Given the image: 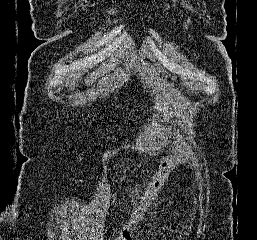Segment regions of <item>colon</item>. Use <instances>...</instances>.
Instances as JSON below:
<instances>
[{"label": "colon", "mask_w": 257, "mask_h": 240, "mask_svg": "<svg viewBox=\"0 0 257 240\" xmlns=\"http://www.w3.org/2000/svg\"><path fill=\"white\" fill-rule=\"evenodd\" d=\"M172 157L173 151L172 147L166 151L162 157L160 166L149 183L144 196L141 198L140 202L137 204L129 220L119 229L118 237L116 240H132L133 232L136 230L141 222L144 220L148 214L150 208L155 203L159 196V193L167 180L171 167H172Z\"/></svg>", "instance_id": "5ec220e1"}]
</instances>
